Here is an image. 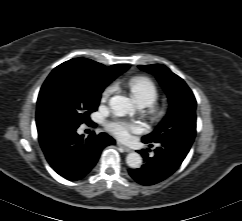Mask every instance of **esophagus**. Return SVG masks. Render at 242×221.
Wrapping results in <instances>:
<instances>
[{
  "label": "esophagus",
  "mask_w": 242,
  "mask_h": 221,
  "mask_svg": "<svg viewBox=\"0 0 242 221\" xmlns=\"http://www.w3.org/2000/svg\"><path fill=\"white\" fill-rule=\"evenodd\" d=\"M117 145H118L120 148H122L125 152H132V149H131V148H129V147H127V146H125V145H123V144H121V143H117Z\"/></svg>",
  "instance_id": "esophagus-1"
}]
</instances>
